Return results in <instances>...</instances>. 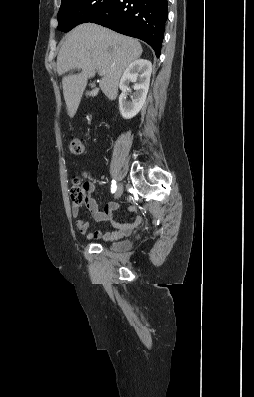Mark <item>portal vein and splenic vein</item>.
Returning <instances> with one entry per match:
<instances>
[{"instance_id":"obj_1","label":"portal vein and splenic vein","mask_w":254,"mask_h":397,"mask_svg":"<svg viewBox=\"0 0 254 397\" xmlns=\"http://www.w3.org/2000/svg\"><path fill=\"white\" fill-rule=\"evenodd\" d=\"M98 73L100 74V75H103L104 74V71H98Z\"/></svg>"}]
</instances>
